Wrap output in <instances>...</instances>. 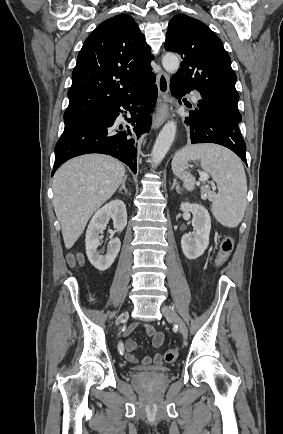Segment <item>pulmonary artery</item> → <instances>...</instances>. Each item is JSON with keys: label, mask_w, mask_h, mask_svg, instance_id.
<instances>
[{"label": "pulmonary artery", "mask_w": 283, "mask_h": 434, "mask_svg": "<svg viewBox=\"0 0 283 434\" xmlns=\"http://www.w3.org/2000/svg\"><path fill=\"white\" fill-rule=\"evenodd\" d=\"M190 97H191L193 100H196V99H197V94L194 93V92H192V93L190 94Z\"/></svg>", "instance_id": "1"}]
</instances>
